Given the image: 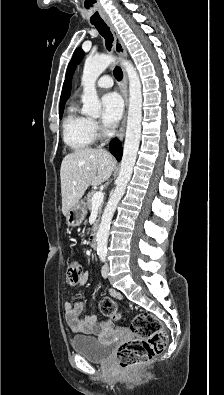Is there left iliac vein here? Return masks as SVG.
Returning <instances> with one entry per match:
<instances>
[{"label": "left iliac vein", "instance_id": "obj_1", "mask_svg": "<svg viewBox=\"0 0 224 395\" xmlns=\"http://www.w3.org/2000/svg\"><path fill=\"white\" fill-rule=\"evenodd\" d=\"M101 274H102L103 278H107L108 277V274H109V264L108 263H105L103 265Z\"/></svg>", "mask_w": 224, "mask_h": 395}]
</instances>
